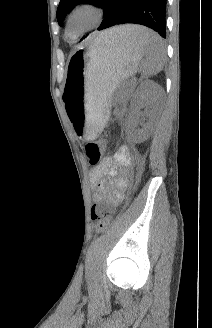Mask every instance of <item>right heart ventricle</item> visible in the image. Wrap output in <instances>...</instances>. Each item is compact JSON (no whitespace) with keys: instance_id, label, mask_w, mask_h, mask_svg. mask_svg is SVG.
Listing matches in <instances>:
<instances>
[{"instance_id":"right-heart-ventricle-1","label":"right heart ventricle","mask_w":212,"mask_h":328,"mask_svg":"<svg viewBox=\"0 0 212 328\" xmlns=\"http://www.w3.org/2000/svg\"><path fill=\"white\" fill-rule=\"evenodd\" d=\"M67 36H68L70 39L73 38V37H72V34L69 33V32H67Z\"/></svg>"}]
</instances>
